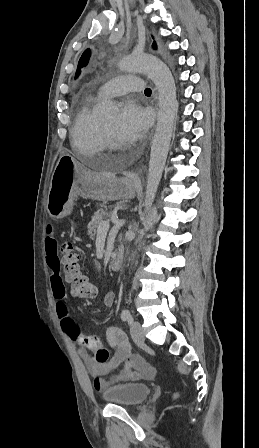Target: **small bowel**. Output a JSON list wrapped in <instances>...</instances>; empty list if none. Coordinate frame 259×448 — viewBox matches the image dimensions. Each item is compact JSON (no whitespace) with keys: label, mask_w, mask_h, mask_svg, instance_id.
<instances>
[{"label":"small bowel","mask_w":259,"mask_h":448,"mask_svg":"<svg viewBox=\"0 0 259 448\" xmlns=\"http://www.w3.org/2000/svg\"><path fill=\"white\" fill-rule=\"evenodd\" d=\"M46 264L51 270L50 277L52 292L56 300V315L60 320L62 330L73 340L80 343L83 335L80 329L70 317L66 303L65 287L60 277V260L58 257V243L52 234V228H48L45 239ZM104 303L112 307L115 303V294L109 292L105 295ZM108 344L114 350V354L107 363H98L85 347L78 349V354L84 361L89 373L95 378L96 390H104L109 384L121 381L145 380L154 377L155 368L145 359L131 353L125 335L116 327H111L106 332ZM124 362L123 368L110 379L103 377Z\"/></svg>","instance_id":"small-bowel-1"}]
</instances>
